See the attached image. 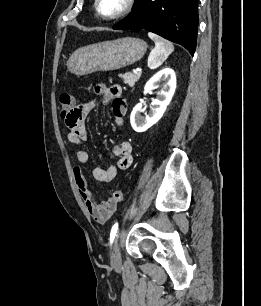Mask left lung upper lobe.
Instances as JSON below:
<instances>
[{
    "label": "left lung upper lobe",
    "mask_w": 261,
    "mask_h": 306,
    "mask_svg": "<svg viewBox=\"0 0 261 306\" xmlns=\"http://www.w3.org/2000/svg\"><path fill=\"white\" fill-rule=\"evenodd\" d=\"M139 0H135V4L138 2Z\"/></svg>",
    "instance_id": "left-lung-upper-lobe-1"
}]
</instances>
